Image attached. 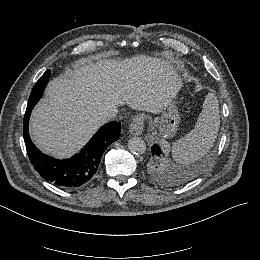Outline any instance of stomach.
<instances>
[{
    "label": "stomach",
    "mask_w": 260,
    "mask_h": 260,
    "mask_svg": "<svg viewBox=\"0 0 260 260\" xmlns=\"http://www.w3.org/2000/svg\"><path fill=\"white\" fill-rule=\"evenodd\" d=\"M159 113L160 117L154 119L153 126L162 137H173L181 121L176 101L173 99L171 102L165 104Z\"/></svg>",
    "instance_id": "obj_1"
}]
</instances>
